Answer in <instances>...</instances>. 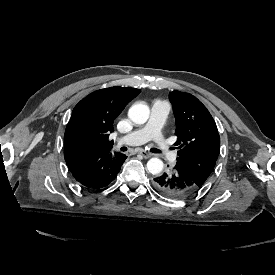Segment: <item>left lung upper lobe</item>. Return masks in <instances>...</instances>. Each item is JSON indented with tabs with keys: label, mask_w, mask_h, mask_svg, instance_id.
I'll list each match as a JSON object with an SVG mask.
<instances>
[{
	"label": "left lung upper lobe",
	"mask_w": 275,
	"mask_h": 275,
	"mask_svg": "<svg viewBox=\"0 0 275 275\" xmlns=\"http://www.w3.org/2000/svg\"><path fill=\"white\" fill-rule=\"evenodd\" d=\"M176 118L179 151L176 166L201 187L214 169L220 151V136L206 107L193 95L169 93Z\"/></svg>",
	"instance_id": "5c2ea615"
}]
</instances>
